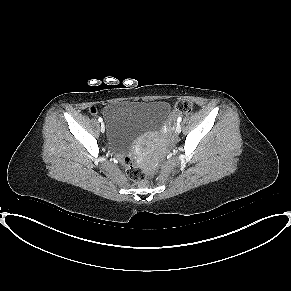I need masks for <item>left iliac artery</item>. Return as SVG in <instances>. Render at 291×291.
<instances>
[{
  "instance_id": "44dca946",
  "label": "left iliac artery",
  "mask_w": 291,
  "mask_h": 291,
  "mask_svg": "<svg viewBox=\"0 0 291 291\" xmlns=\"http://www.w3.org/2000/svg\"><path fill=\"white\" fill-rule=\"evenodd\" d=\"M181 120H182V117H181V116H179V117H178V119H177V122H178V123H180V122H181Z\"/></svg>"
}]
</instances>
